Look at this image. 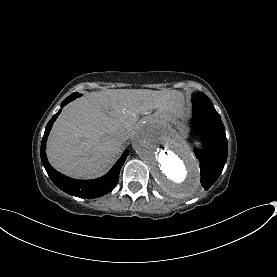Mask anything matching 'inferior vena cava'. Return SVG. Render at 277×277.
<instances>
[{"instance_id":"obj_1","label":"inferior vena cava","mask_w":277,"mask_h":277,"mask_svg":"<svg viewBox=\"0 0 277 277\" xmlns=\"http://www.w3.org/2000/svg\"><path fill=\"white\" fill-rule=\"evenodd\" d=\"M117 135H118V138L123 142L125 141V139H127V136L125 133L118 132Z\"/></svg>"}]
</instances>
